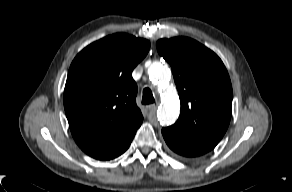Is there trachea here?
I'll return each instance as SVG.
<instances>
[{"instance_id": "3493384b", "label": "trachea", "mask_w": 292, "mask_h": 192, "mask_svg": "<svg viewBox=\"0 0 292 192\" xmlns=\"http://www.w3.org/2000/svg\"><path fill=\"white\" fill-rule=\"evenodd\" d=\"M154 102H155V99L153 97L152 91L149 88H145L143 90L142 103L143 104H151Z\"/></svg>"}]
</instances>
